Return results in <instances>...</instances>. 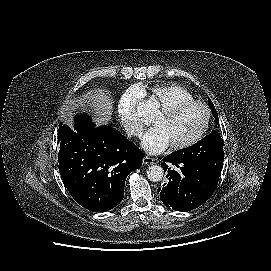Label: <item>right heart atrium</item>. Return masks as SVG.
Here are the masks:
<instances>
[{
  "label": "right heart atrium",
  "mask_w": 271,
  "mask_h": 271,
  "mask_svg": "<svg viewBox=\"0 0 271 271\" xmlns=\"http://www.w3.org/2000/svg\"><path fill=\"white\" fill-rule=\"evenodd\" d=\"M141 100V90L132 86L123 93L118 103L120 122L128 135L135 138H140L144 130V125L136 112L137 105Z\"/></svg>",
  "instance_id": "right-heart-atrium-1"
}]
</instances>
